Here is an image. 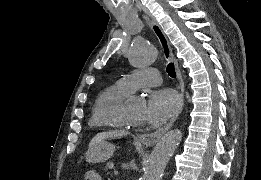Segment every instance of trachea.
<instances>
[{
  "mask_svg": "<svg viewBox=\"0 0 261 180\" xmlns=\"http://www.w3.org/2000/svg\"><path fill=\"white\" fill-rule=\"evenodd\" d=\"M167 73L169 74L170 77L175 78L176 77V72L174 68V63H169L167 66Z\"/></svg>",
  "mask_w": 261,
  "mask_h": 180,
  "instance_id": "1",
  "label": "trachea"
}]
</instances>
